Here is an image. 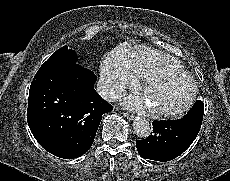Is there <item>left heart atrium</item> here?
<instances>
[{"mask_svg": "<svg viewBox=\"0 0 230 181\" xmlns=\"http://www.w3.org/2000/svg\"><path fill=\"white\" fill-rule=\"evenodd\" d=\"M125 105L128 106L129 108L139 111V112H144L152 107L148 104L147 100L143 95H138V94H130L125 98L124 101Z\"/></svg>", "mask_w": 230, "mask_h": 181, "instance_id": "left-heart-atrium-1", "label": "left heart atrium"}]
</instances>
